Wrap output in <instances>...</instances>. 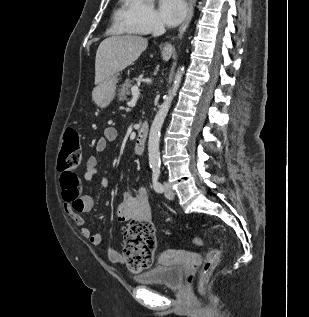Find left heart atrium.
I'll use <instances>...</instances> for the list:
<instances>
[{
    "mask_svg": "<svg viewBox=\"0 0 309 317\" xmlns=\"http://www.w3.org/2000/svg\"><path fill=\"white\" fill-rule=\"evenodd\" d=\"M159 12L167 25L175 26L185 18L187 4L185 0H160Z\"/></svg>",
    "mask_w": 309,
    "mask_h": 317,
    "instance_id": "1",
    "label": "left heart atrium"
}]
</instances>
